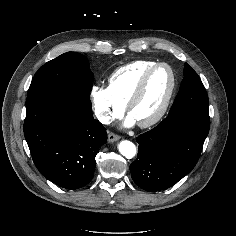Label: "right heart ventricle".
<instances>
[{
    "label": "right heart ventricle",
    "mask_w": 236,
    "mask_h": 236,
    "mask_svg": "<svg viewBox=\"0 0 236 236\" xmlns=\"http://www.w3.org/2000/svg\"><path fill=\"white\" fill-rule=\"evenodd\" d=\"M156 63L150 60H139L118 68L109 78L108 88L112 95L125 106L142 75Z\"/></svg>",
    "instance_id": "obj_1"
}]
</instances>
